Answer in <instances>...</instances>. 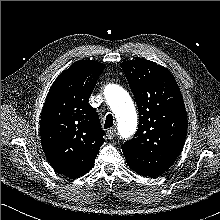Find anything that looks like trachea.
Returning a JSON list of instances; mask_svg holds the SVG:
<instances>
[{
    "instance_id": "trachea-1",
    "label": "trachea",
    "mask_w": 220,
    "mask_h": 220,
    "mask_svg": "<svg viewBox=\"0 0 220 220\" xmlns=\"http://www.w3.org/2000/svg\"><path fill=\"white\" fill-rule=\"evenodd\" d=\"M113 116L112 114H108L105 118V123H104V128L108 129L111 128L113 126Z\"/></svg>"
}]
</instances>
